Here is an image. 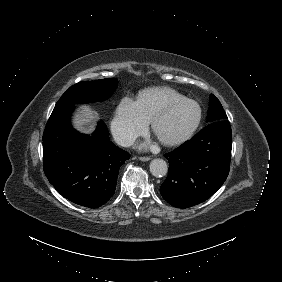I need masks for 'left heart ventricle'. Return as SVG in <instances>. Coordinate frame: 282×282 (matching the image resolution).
I'll list each match as a JSON object with an SVG mask.
<instances>
[{
	"mask_svg": "<svg viewBox=\"0 0 282 282\" xmlns=\"http://www.w3.org/2000/svg\"><path fill=\"white\" fill-rule=\"evenodd\" d=\"M197 115L193 103L184 104L171 111L159 124L158 133L163 138H173L183 132Z\"/></svg>",
	"mask_w": 282,
	"mask_h": 282,
	"instance_id": "1",
	"label": "left heart ventricle"
}]
</instances>
